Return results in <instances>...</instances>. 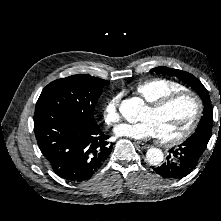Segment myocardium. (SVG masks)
<instances>
[{"mask_svg":"<svg viewBox=\"0 0 221 221\" xmlns=\"http://www.w3.org/2000/svg\"><path fill=\"white\" fill-rule=\"evenodd\" d=\"M184 97H188V98L192 99V101L194 102V105H195L194 116H193L191 122L189 123V125L186 127V129L182 133H180L174 137L167 138V139H162V138L158 137L160 143L163 145L173 146V145L180 144V143L184 142L186 139H188L193 134V132L197 128V126L200 122V119L202 117V113H203L202 101L196 93L189 91V90H183V91H178V92L167 94V95L155 100L154 102L148 103V105H147V108L149 110H151L153 112H157V111L164 109L172 102H174L178 99L184 98Z\"/></svg>","mask_w":221,"mask_h":221,"instance_id":"obj_1","label":"myocardium"}]
</instances>
